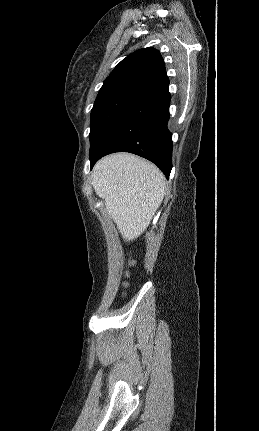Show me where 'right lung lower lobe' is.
Listing matches in <instances>:
<instances>
[{
    "label": "right lung lower lobe",
    "instance_id": "98d812e1",
    "mask_svg": "<svg viewBox=\"0 0 259 431\" xmlns=\"http://www.w3.org/2000/svg\"><path fill=\"white\" fill-rule=\"evenodd\" d=\"M169 105L168 84L133 104L90 151L91 168L101 157L124 151L152 161L168 179L173 149Z\"/></svg>",
    "mask_w": 259,
    "mask_h": 431
}]
</instances>
